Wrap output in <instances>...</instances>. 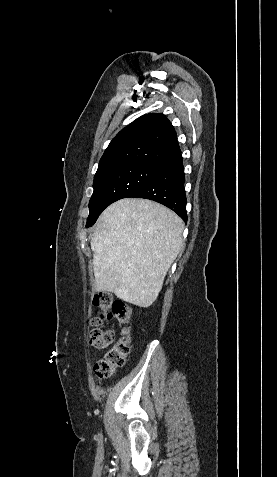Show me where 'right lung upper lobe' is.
Returning <instances> with one entry per match:
<instances>
[{"label":"right lung upper lobe","mask_w":277,"mask_h":477,"mask_svg":"<svg viewBox=\"0 0 277 477\" xmlns=\"http://www.w3.org/2000/svg\"><path fill=\"white\" fill-rule=\"evenodd\" d=\"M177 135L163 114H146L122 129L105 150L96 173L127 164L160 167L179 154Z\"/></svg>","instance_id":"cb5924a9"}]
</instances>
